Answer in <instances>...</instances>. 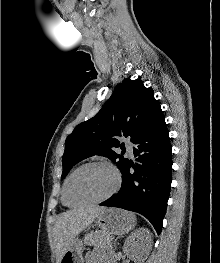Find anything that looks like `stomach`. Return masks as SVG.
I'll return each instance as SVG.
<instances>
[{"label":"stomach","mask_w":220,"mask_h":263,"mask_svg":"<svg viewBox=\"0 0 220 263\" xmlns=\"http://www.w3.org/2000/svg\"><path fill=\"white\" fill-rule=\"evenodd\" d=\"M95 223L105 235L106 245H110L113 235L122 236L133 229L136 224L134 214L118 208H105L96 218ZM84 243L75 238L61 258L60 263H84L82 256Z\"/></svg>","instance_id":"obj_1"}]
</instances>
